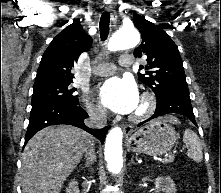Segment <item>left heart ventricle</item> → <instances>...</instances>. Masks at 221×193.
<instances>
[{
  "label": "left heart ventricle",
  "instance_id": "obj_1",
  "mask_svg": "<svg viewBox=\"0 0 221 193\" xmlns=\"http://www.w3.org/2000/svg\"><path fill=\"white\" fill-rule=\"evenodd\" d=\"M139 108H140V102L134 112H137L139 110Z\"/></svg>",
  "mask_w": 221,
  "mask_h": 193
}]
</instances>
